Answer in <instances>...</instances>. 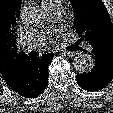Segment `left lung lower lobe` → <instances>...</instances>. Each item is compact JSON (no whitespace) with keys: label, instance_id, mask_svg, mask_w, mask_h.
Masks as SVG:
<instances>
[{"label":"left lung lower lobe","instance_id":"0a47b994","mask_svg":"<svg viewBox=\"0 0 113 113\" xmlns=\"http://www.w3.org/2000/svg\"><path fill=\"white\" fill-rule=\"evenodd\" d=\"M92 56L95 66L86 74H77L78 85L87 91H98L105 88L113 78V51L104 49L99 44H92Z\"/></svg>","mask_w":113,"mask_h":113}]
</instances>
